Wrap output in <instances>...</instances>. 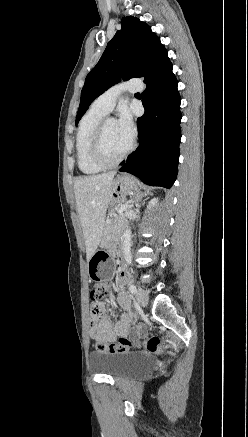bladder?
I'll return each mask as SVG.
<instances>
[{
  "label": "bladder",
  "instance_id": "obj_1",
  "mask_svg": "<svg viewBox=\"0 0 248 437\" xmlns=\"http://www.w3.org/2000/svg\"><path fill=\"white\" fill-rule=\"evenodd\" d=\"M89 362L95 372L114 379L148 372L155 364L153 357L143 352H93Z\"/></svg>",
  "mask_w": 248,
  "mask_h": 437
}]
</instances>
